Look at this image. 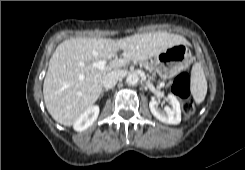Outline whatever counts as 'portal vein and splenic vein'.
<instances>
[{
  "label": "portal vein and splenic vein",
  "instance_id": "portal-vein-and-splenic-vein-1",
  "mask_svg": "<svg viewBox=\"0 0 245 170\" xmlns=\"http://www.w3.org/2000/svg\"><path fill=\"white\" fill-rule=\"evenodd\" d=\"M92 65L98 69L103 70L105 69L106 60H99L97 62H94Z\"/></svg>",
  "mask_w": 245,
  "mask_h": 170
}]
</instances>
